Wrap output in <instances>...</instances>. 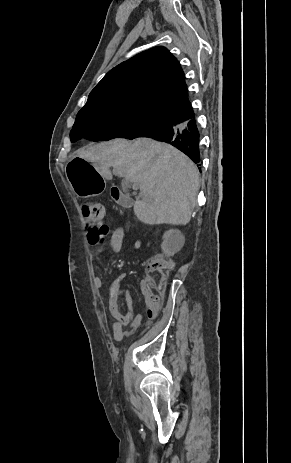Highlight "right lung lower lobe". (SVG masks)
<instances>
[{
	"label": "right lung lower lobe",
	"mask_w": 291,
	"mask_h": 463,
	"mask_svg": "<svg viewBox=\"0 0 291 463\" xmlns=\"http://www.w3.org/2000/svg\"><path fill=\"white\" fill-rule=\"evenodd\" d=\"M165 121V125L141 137L167 142L185 153L197 166H200V133L196 120L183 122L179 118H168ZM199 170L201 171L200 167Z\"/></svg>",
	"instance_id": "1"
}]
</instances>
